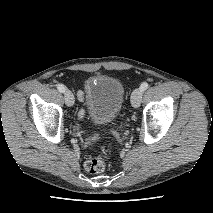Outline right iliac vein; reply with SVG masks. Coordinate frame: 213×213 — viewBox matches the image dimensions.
Listing matches in <instances>:
<instances>
[{"instance_id":"1","label":"right iliac vein","mask_w":213,"mask_h":213,"mask_svg":"<svg viewBox=\"0 0 213 213\" xmlns=\"http://www.w3.org/2000/svg\"><path fill=\"white\" fill-rule=\"evenodd\" d=\"M64 100L67 106L71 107L74 104V95L70 90H66L64 93Z\"/></svg>"}]
</instances>
